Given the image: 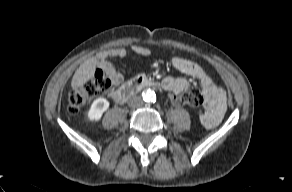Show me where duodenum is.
Returning a JSON list of instances; mask_svg holds the SVG:
<instances>
[{
	"label": "duodenum",
	"instance_id": "410a0bca",
	"mask_svg": "<svg viewBox=\"0 0 292 192\" xmlns=\"http://www.w3.org/2000/svg\"><path fill=\"white\" fill-rule=\"evenodd\" d=\"M158 83L143 76H137L134 79L125 83L122 87L121 95L119 98L120 103H124L131 96L147 87H155Z\"/></svg>",
	"mask_w": 292,
	"mask_h": 192
}]
</instances>
